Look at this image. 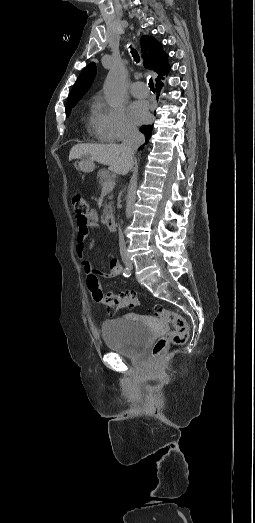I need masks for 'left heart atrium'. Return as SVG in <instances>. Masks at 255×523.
<instances>
[{"mask_svg":"<svg viewBox=\"0 0 255 523\" xmlns=\"http://www.w3.org/2000/svg\"><path fill=\"white\" fill-rule=\"evenodd\" d=\"M130 114L136 122L144 121L148 116V105L145 101H135L130 107Z\"/></svg>","mask_w":255,"mask_h":523,"instance_id":"39dd6f15","label":"left heart atrium"}]
</instances>
